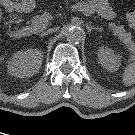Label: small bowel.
Returning a JSON list of instances; mask_svg holds the SVG:
<instances>
[{
    "instance_id": "small-bowel-1",
    "label": "small bowel",
    "mask_w": 135,
    "mask_h": 135,
    "mask_svg": "<svg viewBox=\"0 0 135 135\" xmlns=\"http://www.w3.org/2000/svg\"><path fill=\"white\" fill-rule=\"evenodd\" d=\"M97 12L106 19H112L115 16L113 8L108 3V0H92ZM0 5L5 8V10L13 14L14 12L23 11L26 5V0H0ZM1 12H0V22H1Z\"/></svg>"
}]
</instances>
